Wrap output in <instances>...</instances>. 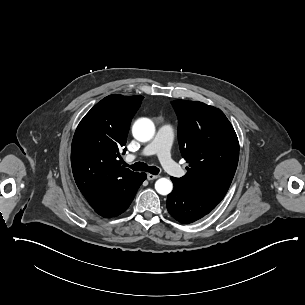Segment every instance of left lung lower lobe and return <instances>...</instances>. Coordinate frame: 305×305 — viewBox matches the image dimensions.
I'll return each mask as SVG.
<instances>
[{
  "instance_id": "left-lung-lower-lobe-1",
  "label": "left lung lower lobe",
  "mask_w": 305,
  "mask_h": 305,
  "mask_svg": "<svg viewBox=\"0 0 305 305\" xmlns=\"http://www.w3.org/2000/svg\"><path fill=\"white\" fill-rule=\"evenodd\" d=\"M173 191L167 196V209L171 216L183 224H190L210 213L222 199L188 191L174 177Z\"/></svg>"
}]
</instances>
